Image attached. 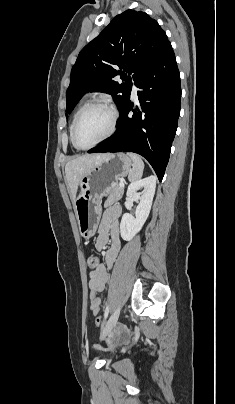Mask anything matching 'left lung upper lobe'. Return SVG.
Instances as JSON below:
<instances>
[{
	"label": "left lung upper lobe",
	"mask_w": 235,
	"mask_h": 404,
	"mask_svg": "<svg viewBox=\"0 0 235 404\" xmlns=\"http://www.w3.org/2000/svg\"><path fill=\"white\" fill-rule=\"evenodd\" d=\"M170 42L156 20L142 11L126 10L79 53L66 93L70 113L89 91L105 92L118 109L128 100L132 81ZM123 71H121V70ZM122 75L124 83L113 78Z\"/></svg>",
	"instance_id": "1"
}]
</instances>
